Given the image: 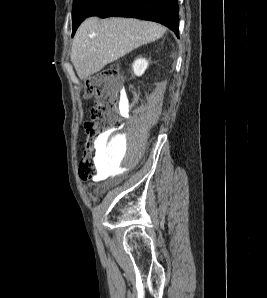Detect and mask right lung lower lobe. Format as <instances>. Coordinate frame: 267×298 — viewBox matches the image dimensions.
Masks as SVG:
<instances>
[{
  "label": "right lung lower lobe",
  "instance_id": "98d812e1",
  "mask_svg": "<svg viewBox=\"0 0 267 298\" xmlns=\"http://www.w3.org/2000/svg\"><path fill=\"white\" fill-rule=\"evenodd\" d=\"M177 1L178 0H101L89 16H99L102 18L120 16L155 21L167 26L178 36L179 8ZM77 27L73 30V34Z\"/></svg>",
  "mask_w": 267,
  "mask_h": 298
}]
</instances>
